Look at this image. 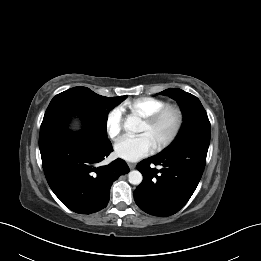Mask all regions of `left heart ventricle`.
<instances>
[{
    "label": "left heart ventricle",
    "instance_id": "b2bd125f",
    "mask_svg": "<svg viewBox=\"0 0 261 261\" xmlns=\"http://www.w3.org/2000/svg\"><path fill=\"white\" fill-rule=\"evenodd\" d=\"M174 119L172 115L166 116L162 121L154 126H149L142 122L138 128V133L146 134L150 142L155 146L164 139L172 129Z\"/></svg>",
    "mask_w": 261,
    "mask_h": 261
}]
</instances>
